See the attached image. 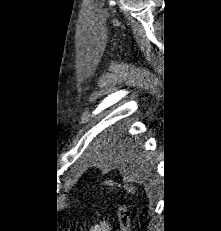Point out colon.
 <instances>
[{
	"mask_svg": "<svg viewBox=\"0 0 221 231\" xmlns=\"http://www.w3.org/2000/svg\"><path fill=\"white\" fill-rule=\"evenodd\" d=\"M118 218L121 225L122 231H128L129 230V222H130V212L128 208L125 205H119L118 206Z\"/></svg>",
	"mask_w": 221,
	"mask_h": 231,
	"instance_id": "5ec220e1",
	"label": "colon"
}]
</instances>
